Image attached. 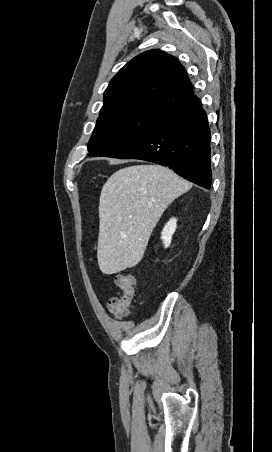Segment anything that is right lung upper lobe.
Masks as SVG:
<instances>
[{"mask_svg":"<svg viewBox=\"0 0 272 452\" xmlns=\"http://www.w3.org/2000/svg\"><path fill=\"white\" fill-rule=\"evenodd\" d=\"M193 96L184 67L172 55L149 50L133 58L112 78L104 92L99 118L136 110L169 113L186 105Z\"/></svg>","mask_w":272,"mask_h":452,"instance_id":"1","label":"right lung upper lobe"}]
</instances>
